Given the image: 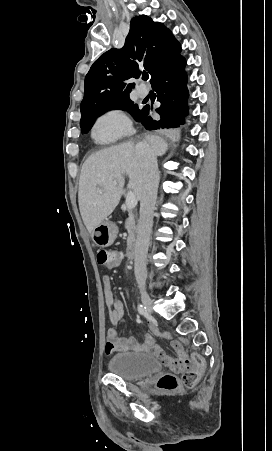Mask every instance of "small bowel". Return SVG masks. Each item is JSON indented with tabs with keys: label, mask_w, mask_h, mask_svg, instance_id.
Masks as SVG:
<instances>
[{
	"label": "small bowel",
	"mask_w": 272,
	"mask_h": 451,
	"mask_svg": "<svg viewBox=\"0 0 272 451\" xmlns=\"http://www.w3.org/2000/svg\"><path fill=\"white\" fill-rule=\"evenodd\" d=\"M102 284L104 298L110 309V322L113 325H117L124 317L123 303L121 300L115 298L112 281L108 274L102 276ZM164 336L170 338L169 333H165ZM174 343L177 344L179 348H184L179 341L175 340L171 342L170 346ZM114 351L153 353L157 358H159L160 352H164L162 348L155 345L154 338L148 333L144 334L142 342H139L132 336H121L116 328H110L107 332L106 353L110 354Z\"/></svg>",
	"instance_id": "obj_1"
}]
</instances>
